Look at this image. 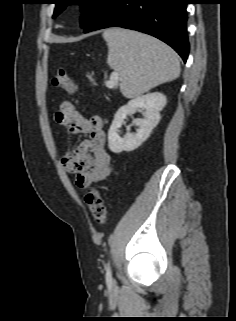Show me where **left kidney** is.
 I'll use <instances>...</instances> for the list:
<instances>
[{
	"instance_id": "left-kidney-1",
	"label": "left kidney",
	"mask_w": 236,
	"mask_h": 321,
	"mask_svg": "<svg viewBox=\"0 0 236 321\" xmlns=\"http://www.w3.org/2000/svg\"><path fill=\"white\" fill-rule=\"evenodd\" d=\"M166 105V97L159 92L148 93L130 100L120 107L115 114L114 120L108 132L109 149L114 153L133 151L138 148L150 136L152 130L160 121V111ZM142 110L144 118L133 120L138 127L135 134L127 133L123 138L119 137L118 131L127 115ZM129 130V128H128Z\"/></svg>"
}]
</instances>
